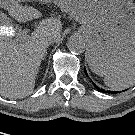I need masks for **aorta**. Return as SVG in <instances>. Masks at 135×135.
Returning a JSON list of instances; mask_svg holds the SVG:
<instances>
[{
    "mask_svg": "<svg viewBox=\"0 0 135 135\" xmlns=\"http://www.w3.org/2000/svg\"><path fill=\"white\" fill-rule=\"evenodd\" d=\"M68 49L74 54H82L85 50V41L80 36H72L67 42Z\"/></svg>",
    "mask_w": 135,
    "mask_h": 135,
    "instance_id": "aorta-1",
    "label": "aorta"
}]
</instances>
